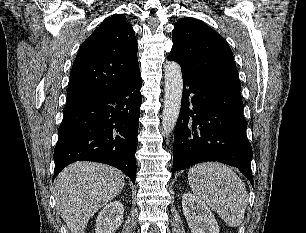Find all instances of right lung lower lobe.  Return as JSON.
Returning <instances> with one entry per match:
<instances>
[{
	"label": "right lung lower lobe",
	"mask_w": 306,
	"mask_h": 233,
	"mask_svg": "<svg viewBox=\"0 0 306 233\" xmlns=\"http://www.w3.org/2000/svg\"><path fill=\"white\" fill-rule=\"evenodd\" d=\"M141 87L138 72L110 94L63 109L53 179L70 163L87 160L114 166L135 183Z\"/></svg>",
	"instance_id": "1"
}]
</instances>
